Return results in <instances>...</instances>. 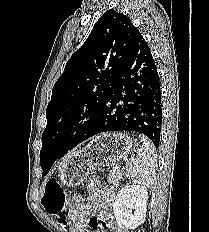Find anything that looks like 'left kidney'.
Here are the masks:
<instances>
[{
	"mask_svg": "<svg viewBox=\"0 0 209 232\" xmlns=\"http://www.w3.org/2000/svg\"><path fill=\"white\" fill-rule=\"evenodd\" d=\"M147 190V187L140 185L139 182L127 184L121 188L113 205L118 226L135 229L145 221L148 200Z\"/></svg>",
	"mask_w": 209,
	"mask_h": 232,
	"instance_id": "1",
	"label": "left kidney"
}]
</instances>
